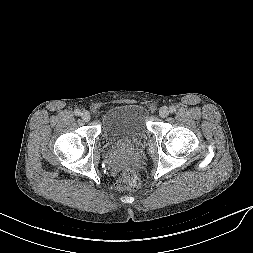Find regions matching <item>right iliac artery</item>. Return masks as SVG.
<instances>
[{
    "instance_id": "82829eb1",
    "label": "right iliac artery",
    "mask_w": 253,
    "mask_h": 253,
    "mask_svg": "<svg viewBox=\"0 0 253 253\" xmlns=\"http://www.w3.org/2000/svg\"><path fill=\"white\" fill-rule=\"evenodd\" d=\"M74 114H75L76 116H79V115L81 114V112H80L79 109H76V110L74 111Z\"/></svg>"
}]
</instances>
